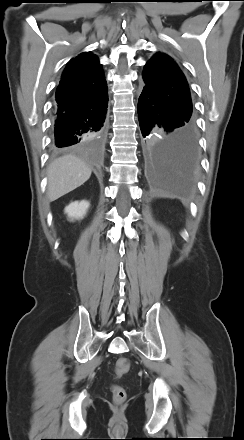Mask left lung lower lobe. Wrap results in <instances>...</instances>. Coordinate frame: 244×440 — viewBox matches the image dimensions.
<instances>
[{"label": "left lung lower lobe", "instance_id": "left-lung-lower-lobe-1", "mask_svg": "<svg viewBox=\"0 0 244 440\" xmlns=\"http://www.w3.org/2000/svg\"><path fill=\"white\" fill-rule=\"evenodd\" d=\"M138 118L149 170L174 178L181 191H188L199 162L193 116L144 86L138 100Z\"/></svg>", "mask_w": 244, "mask_h": 440}]
</instances>
